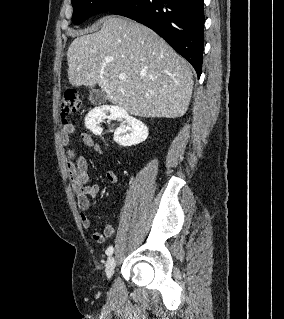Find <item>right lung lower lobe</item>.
<instances>
[{"mask_svg": "<svg viewBox=\"0 0 284 319\" xmlns=\"http://www.w3.org/2000/svg\"><path fill=\"white\" fill-rule=\"evenodd\" d=\"M159 34L201 75L204 46L203 0H130L109 11Z\"/></svg>", "mask_w": 284, "mask_h": 319, "instance_id": "1", "label": "right lung lower lobe"}]
</instances>
